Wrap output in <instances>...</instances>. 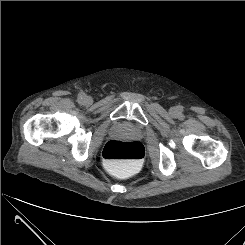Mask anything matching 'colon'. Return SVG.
<instances>
[{
    "instance_id": "5ec220e1",
    "label": "colon",
    "mask_w": 245,
    "mask_h": 245,
    "mask_svg": "<svg viewBox=\"0 0 245 245\" xmlns=\"http://www.w3.org/2000/svg\"><path fill=\"white\" fill-rule=\"evenodd\" d=\"M144 148L137 141H109L103 148L105 165L119 173L133 172L144 159Z\"/></svg>"
}]
</instances>
